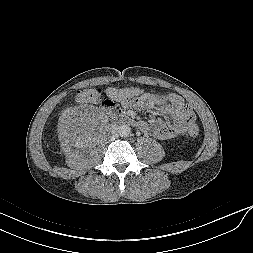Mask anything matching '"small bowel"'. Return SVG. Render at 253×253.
<instances>
[{
  "label": "small bowel",
  "mask_w": 253,
  "mask_h": 253,
  "mask_svg": "<svg viewBox=\"0 0 253 253\" xmlns=\"http://www.w3.org/2000/svg\"><path fill=\"white\" fill-rule=\"evenodd\" d=\"M129 107L131 104L139 110L157 109L161 114L168 116L171 121L159 119L150 123L140 122L139 128L159 140H170L183 135L190 123L195 122L192 108L185 103L183 98L174 93L159 94L156 92H142L133 101L121 102L105 99V108L119 111L121 104Z\"/></svg>",
  "instance_id": "small-bowel-1"
}]
</instances>
